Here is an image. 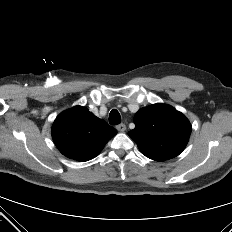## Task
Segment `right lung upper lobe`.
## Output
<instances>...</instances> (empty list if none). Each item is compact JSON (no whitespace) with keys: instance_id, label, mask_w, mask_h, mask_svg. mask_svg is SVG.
<instances>
[{"instance_id":"cb5924a9","label":"right lung upper lobe","mask_w":232,"mask_h":232,"mask_svg":"<svg viewBox=\"0 0 232 232\" xmlns=\"http://www.w3.org/2000/svg\"><path fill=\"white\" fill-rule=\"evenodd\" d=\"M116 133L115 128L81 106L62 112L52 127V138L60 152L81 162L96 157Z\"/></svg>"}]
</instances>
